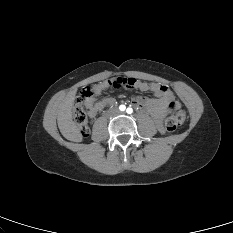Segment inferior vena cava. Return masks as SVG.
<instances>
[{"label":"inferior vena cava","mask_w":233,"mask_h":233,"mask_svg":"<svg viewBox=\"0 0 233 233\" xmlns=\"http://www.w3.org/2000/svg\"><path fill=\"white\" fill-rule=\"evenodd\" d=\"M116 113H119V111H118V110H116Z\"/></svg>","instance_id":"obj_1"}]
</instances>
